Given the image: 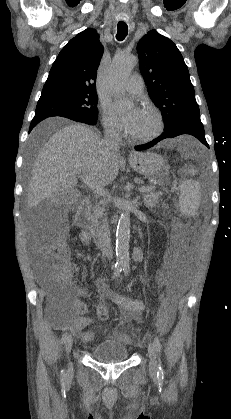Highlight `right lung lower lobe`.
<instances>
[{
    "label": "right lung lower lobe",
    "instance_id": "obj_1",
    "mask_svg": "<svg viewBox=\"0 0 231 419\" xmlns=\"http://www.w3.org/2000/svg\"><path fill=\"white\" fill-rule=\"evenodd\" d=\"M46 117L45 116H43V115H38V116H35L34 118H33V120H32V122H31V124H30V130H29V132L40 122V121H42V120H44ZM97 122V121H96ZM96 122H87L88 124H90V125H94V124H96ZM84 123H86V122H84Z\"/></svg>",
    "mask_w": 231,
    "mask_h": 419
}]
</instances>
